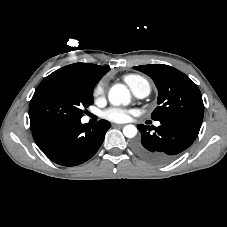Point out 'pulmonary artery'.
Returning a JSON list of instances; mask_svg holds the SVG:
<instances>
[{
	"mask_svg": "<svg viewBox=\"0 0 227 227\" xmlns=\"http://www.w3.org/2000/svg\"><path fill=\"white\" fill-rule=\"evenodd\" d=\"M134 95L138 98H144L149 94V89L146 86H141L133 91ZM159 125V123H157Z\"/></svg>",
	"mask_w": 227,
	"mask_h": 227,
	"instance_id": "obj_1",
	"label": "pulmonary artery"
}]
</instances>
